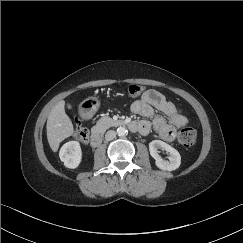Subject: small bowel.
<instances>
[{"label":"small bowel","mask_w":243,"mask_h":243,"mask_svg":"<svg viewBox=\"0 0 243 243\" xmlns=\"http://www.w3.org/2000/svg\"><path fill=\"white\" fill-rule=\"evenodd\" d=\"M155 110L160 111L164 116H156ZM131 111L143 118L138 123L140 128L137 132L141 135H148L152 128L158 136L167 142H172L177 136V130L188 124V119L181 111L165 96L157 90L148 89L141 97L131 105Z\"/></svg>","instance_id":"1"}]
</instances>
